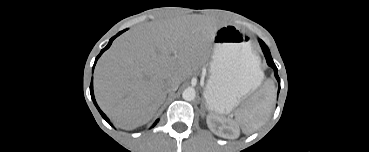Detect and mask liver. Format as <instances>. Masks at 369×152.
I'll use <instances>...</instances> for the list:
<instances>
[{"mask_svg":"<svg viewBox=\"0 0 369 152\" xmlns=\"http://www.w3.org/2000/svg\"><path fill=\"white\" fill-rule=\"evenodd\" d=\"M218 28L210 20L174 18L123 34L95 67L101 109L122 129L149 122L166 98L167 82L182 83L207 59Z\"/></svg>","mask_w":369,"mask_h":152,"instance_id":"6515ba94","label":"liver"}]
</instances>
